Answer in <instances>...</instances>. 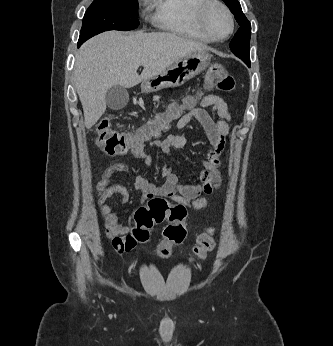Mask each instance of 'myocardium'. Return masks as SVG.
<instances>
[{
	"label": "myocardium",
	"instance_id": "myocardium-1",
	"mask_svg": "<svg viewBox=\"0 0 333 346\" xmlns=\"http://www.w3.org/2000/svg\"><path fill=\"white\" fill-rule=\"evenodd\" d=\"M213 7H218L220 8L227 16L229 23H230V28L229 31L222 37H217L215 36L211 30L208 27L207 24V16L209 11ZM197 20L200 28L202 31L212 40H224L227 39L231 36V34L234 31L235 23H234V17L230 11V9L221 1L219 0H204L202 4L199 5L198 10H197Z\"/></svg>",
	"mask_w": 333,
	"mask_h": 346
}]
</instances>
